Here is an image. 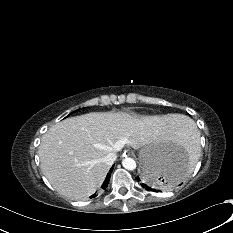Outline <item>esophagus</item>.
<instances>
[{
  "instance_id": "34e87169",
  "label": "esophagus",
  "mask_w": 233,
  "mask_h": 233,
  "mask_svg": "<svg viewBox=\"0 0 233 233\" xmlns=\"http://www.w3.org/2000/svg\"><path fill=\"white\" fill-rule=\"evenodd\" d=\"M129 154H130V152L128 150H125L124 155L126 156V155H129Z\"/></svg>"
}]
</instances>
